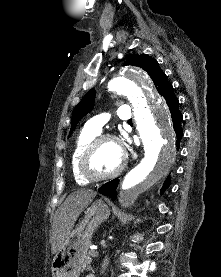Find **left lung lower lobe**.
Returning a JSON list of instances; mask_svg holds the SVG:
<instances>
[{"label": "left lung lower lobe", "mask_w": 221, "mask_h": 277, "mask_svg": "<svg viewBox=\"0 0 221 277\" xmlns=\"http://www.w3.org/2000/svg\"><path fill=\"white\" fill-rule=\"evenodd\" d=\"M163 96L171 112L173 127L177 136V147H179L180 139L183 135V132L181 129V122L183 120V117L179 111V100L174 94L172 85L167 88ZM118 182L119 180H112L110 182H107L102 187H100L98 191L103 195H109L110 197H112V199L115 200L116 199L115 190ZM169 185H170V179L168 177L163 185V188L160 190L161 194H163V192L165 191L166 188L169 187Z\"/></svg>", "instance_id": "1"}]
</instances>
